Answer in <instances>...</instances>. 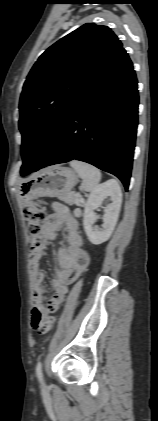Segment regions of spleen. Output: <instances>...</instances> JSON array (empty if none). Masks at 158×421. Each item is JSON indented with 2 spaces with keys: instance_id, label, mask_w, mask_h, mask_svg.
I'll use <instances>...</instances> for the list:
<instances>
[{
  "instance_id": "spleen-1",
  "label": "spleen",
  "mask_w": 158,
  "mask_h": 421,
  "mask_svg": "<svg viewBox=\"0 0 158 421\" xmlns=\"http://www.w3.org/2000/svg\"><path fill=\"white\" fill-rule=\"evenodd\" d=\"M70 166L83 179L82 190L92 192L98 186L101 180V172L98 168L78 160L71 161Z\"/></svg>"
}]
</instances>
